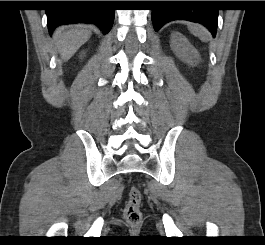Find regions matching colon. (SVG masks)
Returning <instances> with one entry per match:
<instances>
[{"instance_id":"colon-1","label":"colon","mask_w":265,"mask_h":245,"mask_svg":"<svg viewBox=\"0 0 265 245\" xmlns=\"http://www.w3.org/2000/svg\"><path fill=\"white\" fill-rule=\"evenodd\" d=\"M124 218L131 226H137L142 221L141 192L136 187H131L129 200L123 211Z\"/></svg>"}]
</instances>
